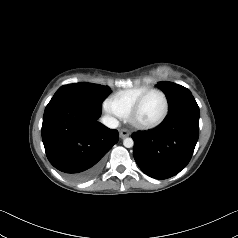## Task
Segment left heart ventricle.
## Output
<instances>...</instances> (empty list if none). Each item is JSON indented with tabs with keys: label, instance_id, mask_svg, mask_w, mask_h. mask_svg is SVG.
<instances>
[{
	"label": "left heart ventricle",
	"instance_id": "obj_1",
	"mask_svg": "<svg viewBox=\"0 0 238 238\" xmlns=\"http://www.w3.org/2000/svg\"><path fill=\"white\" fill-rule=\"evenodd\" d=\"M164 99L159 92H151L143 101L136 120L139 123H151L157 120L163 113Z\"/></svg>",
	"mask_w": 238,
	"mask_h": 238
}]
</instances>
